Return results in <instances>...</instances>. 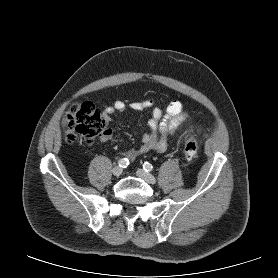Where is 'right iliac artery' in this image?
I'll use <instances>...</instances> for the list:
<instances>
[{
    "label": "right iliac artery",
    "instance_id": "82829eb1",
    "mask_svg": "<svg viewBox=\"0 0 278 278\" xmlns=\"http://www.w3.org/2000/svg\"><path fill=\"white\" fill-rule=\"evenodd\" d=\"M129 164V160L127 158H122L118 161V165L121 167V168H126Z\"/></svg>",
    "mask_w": 278,
    "mask_h": 278
}]
</instances>
